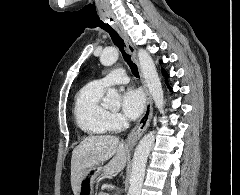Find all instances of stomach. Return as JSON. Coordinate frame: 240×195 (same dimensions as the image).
Instances as JSON below:
<instances>
[{"label": "stomach", "mask_w": 240, "mask_h": 195, "mask_svg": "<svg viewBox=\"0 0 240 195\" xmlns=\"http://www.w3.org/2000/svg\"><path fill=\"white\" fill-rule=\"evenodd\" d=\"M103 163H98L94 165L91 171L87 173L85 179H82L78 195H93L94 193V183L98 179L99 175H102Z\"/></svg>", "instance_id": "1"}]
</instances>
